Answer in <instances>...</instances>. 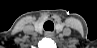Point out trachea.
Wrapping results in <instances>:
<instances>
[{
    "instance_id": "1",
    "label": "trachea",
    "mask_w": 97,
    "mask_h": 48,
    "mask_svg": "<svg viewBox=\"0 0 97 48\" xmlns=\"http://www.w3.org/2000/svg\"><path fill=\"white\" fill-rule=\"evenodd\" d=\"M54 25H53V22L52 21H46L45 23H44V29H48L49 27H53Z\"/></svg>"
}]
</instances>
